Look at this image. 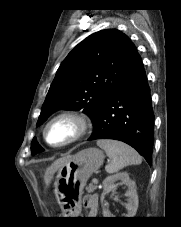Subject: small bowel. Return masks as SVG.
<instances>
[{"label": "small bowel", "mask_w": 181, "mask_h": 227, "mask_svg": "<svg viewBox=\"0 0 181 227\" xmlns=\"http://www.w3.org/2000/svg\"><path fill=\"white\" fill-rule=\"evenodd\" d=\"M84 205L89 209V216L95 217L98 214V196L89 194L84 197Z\"/></svg>", "instance_id": "c3829d8e"}]
</instances>
